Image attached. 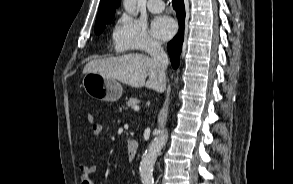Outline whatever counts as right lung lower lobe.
I'll return each instance as SVG.
<instances>
[{"label":"right lung lower lobe","instance_id":"right-lung-lower-lobe-1","mask_svg":"<svg viewBox=\"0 0 293 184\" xmlns=\"http://www.w3.org/2000/svg\"><path fill=\"white\" fill-rule=\"evenodd\" d=\"M173 6L176 10L179 20V33L170 41L167 45L168 53L171 59L172 67L177 68L180 62V53L182 49L183 37H184V20L185 9L183 0H173Z\"/></svg>","mask_w":293,"mask_h":184}]
</instances>
